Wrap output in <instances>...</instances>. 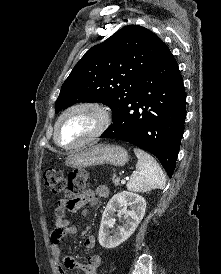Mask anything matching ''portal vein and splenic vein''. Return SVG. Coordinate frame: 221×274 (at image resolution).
<instances>
[{"label": "portal vein and splenic vein", "instance_id": "portal-vein-and-splenic-vein-1", "mask_svg": "<svg viewBox=\"0 0 221 274\" xmlns=\"http://www.w3.org/2000/svg\"><path fill=\"white\" fill-rule=\"evenodd\" d=\"M121 183H122V184H124V183H125V180H124V179H123V180H121Z\"/></svg>", "mask_w": 221, "mask_h": 274}]
</instances>
